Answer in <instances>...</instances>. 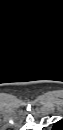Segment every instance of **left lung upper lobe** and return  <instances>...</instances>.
Segmentation results:
<instances>
[{"label": "left lung upper lobe", "mask_w": 63, "mask_h": 130, "mask_svg": "<svg viewBox=\"0 0 63 130\" xmlns=\"http://www.w3.org/2000/svg\"><path fill=\"white\" fill-rule=\"evenodd\" d=\"M60 127H61V122H57V123L54 125L53 129L57 130V129H59Z\"/></svg>", "instance_id": "1"}]
</instances>
